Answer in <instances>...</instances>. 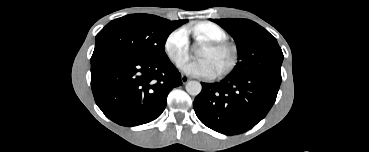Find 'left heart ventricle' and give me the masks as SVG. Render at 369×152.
Here are the masks:
<instances>
[{"mask_svg": "<svg viewBox=\"0 0 369 152\" xmlns=\"http://www.w3.org/2000/svg\"><path fill=\"white\" fill-rule=\"evenodd\" d=\"M199 57L201 59H208L213 64L217 73L228 65L231 54L226 50L216 51L204 46L199 53Z\"/></svg>", "mask_w": 369, "mask_h": 152, "instance_id": "obj_1", "label": "left heart ventricle"}]
</instances>
